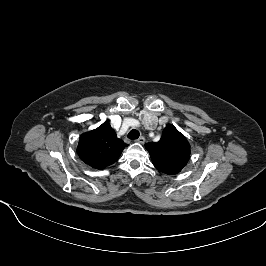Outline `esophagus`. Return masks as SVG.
I'll list each match as a JSON object with an SVG mask.
<instances>
[{
	"mask_svg": "<svg viewBox=\"0 0 266 266\" xmlns=\"http://www.w3.org/2000/svg\"><path fill=\"white\" fill-rule=\"evenodd\" d=\"M136 142L141 143V144H144V143H145V137H144V136H140V137L136 140Z\"/></svg>",
	"mask_w": 266,
	"mask_h": 266,
	"instance_id": "1",
	"label": "esophagus"
}]
</instances>
